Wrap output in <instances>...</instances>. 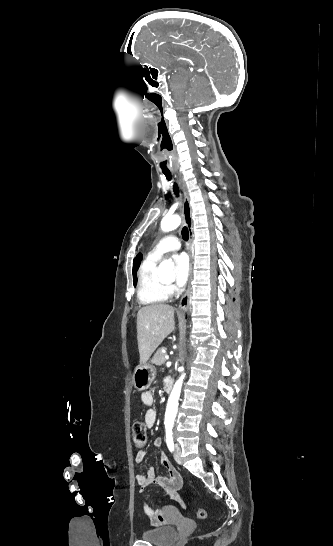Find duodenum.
<instances>
[{"mask_svg": "<svg viewBox=\"0 0 333 546\" xmlns=\"http://www.w3.org/2000/svg\"><path fill=\"white\" fill-rule=\"evenodd\" d=\"M165 388L167 391H171L173 388L174 380L171 377H168L164 380Z\"/></svg>", "mask_w": 333, "mask_h": 546, "instance_id": "410a0bca", "label": "duodenum"}]
</instances>
